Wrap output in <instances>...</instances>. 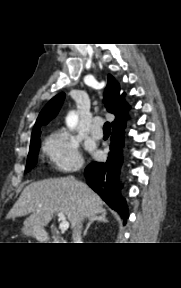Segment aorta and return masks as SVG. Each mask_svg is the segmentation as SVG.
<instances>
[{"mask_svg": "<svg viewBox=\"0 0 181 288\" xmlns=\"http://www.w3.org/2000/svg\"><path fill=\"white\" fill-rule=\"evenodd\" d=\"M78 123V115L76 112H70L66 117V124L72 130Z\"/></svg>", "mask_w": 181, "mask_h": 288, "instance_id": "obj_1", "label": "aorta"}]
</instances>
